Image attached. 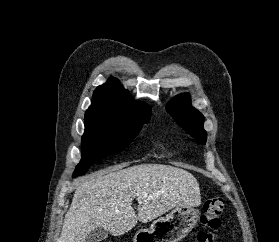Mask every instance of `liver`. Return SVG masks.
<instances>
[{"label": "liver", "mask_w": 279, "mask_h": 242, "mask_svg": "<svg viewBox=\"0 0 279 242\" xmlns=\"http://www.w3.org/2000/svg\"><path fill=\"white\" fill-rule=\"evenodd\" d=\"M128 164L103 169L78 180L58 242H85L101 227L113 236L130 231L180 206H199L200 188L188 171L161 164ZM138 202V214L132 203Z\"/></svg>", "instance_id": "6515ba94"}]
</instances>
